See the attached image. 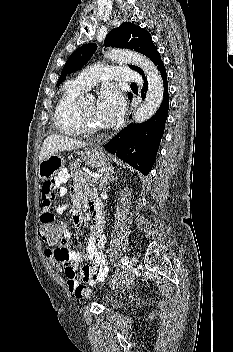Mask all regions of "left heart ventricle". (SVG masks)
<instances>
[{
    "mask_svg": "<svg viewBox=\"0 0 233 352\" xmlns=\"http://www.w3.org/2000/svg\"><path fill=\"white\" fill-rule=\"evenodd\" d=\"M82 107L88 121L94 126L102 127L96 115V102L94 100L85 101Z\"/></svg>",
    "mask_w": 233,
    "mask_h": 352,
    "instance_id": "obj_1",
    "label": "left heart ventricle"
}]
</instances>
